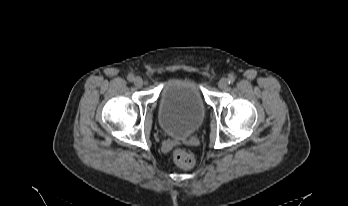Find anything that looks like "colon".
Segmentation results:
<instances>
[{"instance_id": "5ec220e1", "label": "colon", "mask_w": 348, "mask_h": 206, "mask_svg": "<svg viewBox=\"0 0 348 206\" xmlns=\"http://www.w3.org/2000/svg\"><path fill=\"white\" fill-rule=\"evenodd\" d=\"M175 163L181 168L189 169L193 166V157L182 149H176L173 155Z\"/></svg>"}]
</instances>
